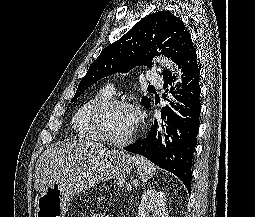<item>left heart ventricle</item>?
<instances>
[{"label":"left heart ventricle","instance_id":"b2bd125f","mask_svg":"<svg viewBox=\"0 0 255 217\" xmlns=\"http://www.w3.org/2000/svg\"><path fill=\"white\" fill-rule=\"evenodd\" d=\"M136 126L135 113L126 107H117L109 111L105 118L108 135L115 139L128 136Z\"/></svg>","mask_w":255,"mask_h":217}]
</instances>
